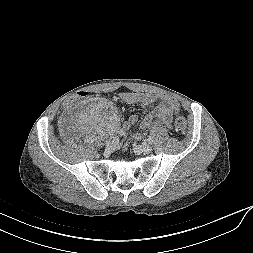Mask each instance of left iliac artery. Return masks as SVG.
Listing matches in <instances>:
<instances>
[{"label": "left iliac artery", "instance_id": "44dca946", "mask_svg": "<svg viewBox=\"0 0 253 253\" xmlns=\"http://www.w3.org/2000/svg\"><path fill=\"white\" fill-rule=\"evenodd\" d=\"M148 143H152L153 142V138L151 136L148 137L147 139Z\"/></svg>", "mask_w": 253, "mask_h": 253}]
</instances>
